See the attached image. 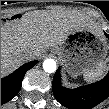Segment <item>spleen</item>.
<instances>
[{"label": "spleen", "instance_id": "3e777b00", "mask_svg": "<svg viewBox=\"0 0 109 109\" xmlns=\"http://www.w3.org/2000/svg\"><path fill=\"white\" fill-rule=\"evenodd\" d=\"M108 62L101 63L96 69L87 71L83 74V78L86 82H94L107 72Z\"/></svg>", "mask_w": 109, "mask_h": 109}]
</instances>
